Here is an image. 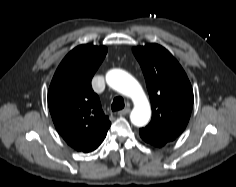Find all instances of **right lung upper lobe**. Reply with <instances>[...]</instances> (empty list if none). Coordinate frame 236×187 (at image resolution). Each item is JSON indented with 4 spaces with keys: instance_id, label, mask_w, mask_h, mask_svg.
Segmentation results:
<instances>
[{
    "instance_id": "obj_1",
    "label": "right lung upper lobe",
    "mask_w": 236,
    "mask_h": 187,
    "mask_svg": "<svg viewBox=\"0 0 236 187\" xmlns=\"http://www.w3.org/2000/svg\"><path fill=\"white\" fill-rule=\"evenodd\" d=\"M106 53L104 46H77L62 60L49 87L48 105L54 125L77 151L95 150L111 125L91 88V79Z\"/></svg>"
}]
</instances>
